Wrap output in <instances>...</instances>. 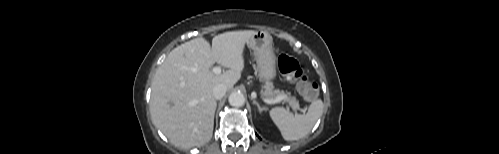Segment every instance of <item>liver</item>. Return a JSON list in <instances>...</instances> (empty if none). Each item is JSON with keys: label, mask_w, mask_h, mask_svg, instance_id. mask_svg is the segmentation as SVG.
<instances>
[{"label": "liver", "mask_w": 499, "mask_h": 154, "mask_svg": "<svg viewBox=\"0 0 499 154\" xmlns=\"http://www.w3.org/2000/svg\"><path fill=\"white\" fill-rule=\"evenodd\" d=\"M256 31H230L213 38L212 46L195 38L174 48L156 71L150 111L154 124L176 146H201L212 138L216 100L213 88L240 79L244 48ZM214 63L227 68L212 71Z\"/></svg>", "instance_id": "liver-1"}]
</instances>
